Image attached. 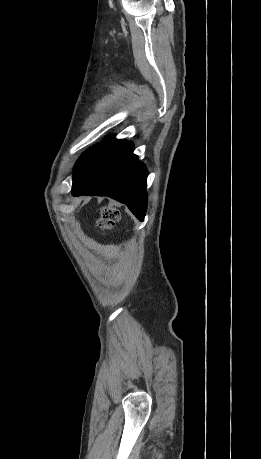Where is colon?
I'll list each match as a JSON object with an SVG mask.
<instances>
[{
	"label": "colon",
	"mask_w": 261,
	"mask_h": 459,
	"mask_svg": "<svg viewBox=\"0 0 261 459\" xmlns=\"http://www.w3.org/2000/svg\"><path fill=\"white\" fill-rule=\"evenodd\" d=\"M118 218V209L115 207L106 206L101 211V216L98 220V226L103 231L109 230L114 226Z\"/></svg>",
	"instance_id": "colon-1"
}]
</instances>
